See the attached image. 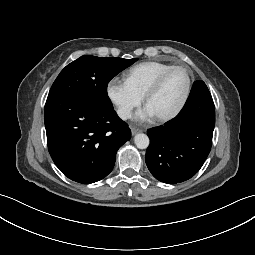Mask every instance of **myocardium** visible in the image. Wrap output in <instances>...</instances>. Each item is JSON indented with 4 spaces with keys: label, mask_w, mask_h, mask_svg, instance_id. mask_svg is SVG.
Wrapping results in <instances>:
<instances>
[{
    "label": "myocardium",
    "mask_w": 255,
    "mask_h": 255,
    "mask_svg": "<svg viewBox=\"0 0 255 255\" xmlns=\"http://www.w3.org/2000/svg\"><path fill=\"white\" fill-rule=\"evenodd\" d=\"M177 69H181L183 71H185L186 75H187V87L186 90L184 92V95L182 97V99L180 100V102L178 103V105L168 114L165 115H161V116H156V118L159 121H169L171 119H173L174 117H176L181 110L183 109V107L185 106L190 93H191V89H192V75L191 72L189 71V69L185 66L182 65H174L172 67H170L169 69H167L166 71H164L157 79L156 81L152 84V86L147 90V92L144 95V99H145V103L147 104L148 101L150 100V98L155 95L163 86L166 78L175 70Z\"/></svg>",
    "instance_id": "f54148a6"
}]
</instances>
